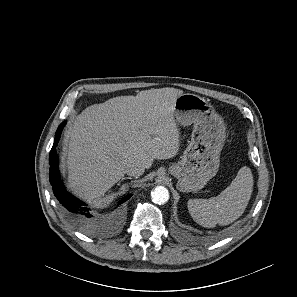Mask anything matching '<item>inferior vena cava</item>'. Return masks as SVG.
I'll return each instance as SVG.
<instances>
[{"instance_id":"602c4592","label":"inferior vena cava","mask_w":297,"mask_h":297,"mask_svg":"<svg viewBox=\"0 0 297 297\" xmlns=\"http://www.w3.org/2000/svg\"><path fill=\"white\" fill-rule=\"evenodd\" d=\"M145 167L138 163H128L125 168V173L130 176H140L144 173Z\"/></svg>"}]
</instances>
